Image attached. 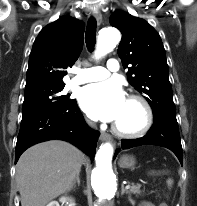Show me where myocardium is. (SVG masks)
Masks as SVG:
<instances>
[{"instance_id": "myocardium-1", "label": "myocardium", "mask_w": 197, "mask_h": 206, "mask_svg": "<svg viewBox=\"0 0 197 206\" xmlns=\"http://www.w3.org/2000/svg\"><path fill=\"white\" fill-rule=\"evenodd\" d=\"M127 100L136 102L140 105L144 115L143 123L139 128L135 130H125L115 123L113 124L112 127L113 131L117 135L122 137H127V138H135V137L143 136L148 132V130L151 128L153 123V111L151 105L145 97L139 94H130Z\"/></svg>"}]
</instances>
